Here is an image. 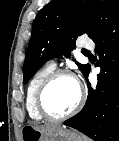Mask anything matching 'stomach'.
<instances>
[{
  "mask_svg": "<svg viewBox=\"0 0 119 141\" xmlns=\"http://www.w3.org/2000/svg\"><path fill=\"white\" fill-rule=\"evenodd\" d=\"M21 136L22 141H86L79 133L60 126L26 125Z\"/></svg>",
  "mask_w": 119,
  "mask_h": 141,
  "instance_id": "obj_1",
  "label": "stomach"
}]
</instances>
